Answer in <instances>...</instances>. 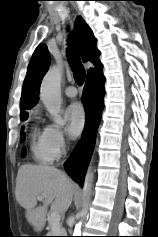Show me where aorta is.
I'll return each instance as SVG.
<instances>
[{
  "mask_svg": "<svg viewBox=\"0 0 158 237\" xmlns=\"http://www.w3.org/2000/svg\"><path fill=\"white\" fill-rule=\"evenodd\" d=\"M61 73L60 70L53 66L48 70L46 75L44 76L41 87H40V98L44 103L47 111L52 116V119L58 125H64L65 121L60 116L61 111ZM93 171L91 170V166L88 168L84 184H83V204L82 210L80 211V221L76 225L75 232L76 234L80 233L81 225L87 215L88 207H89V199L92 192V183H93Z\"/></svg>",
  "mask_w": 158,
  "mask_h": 237,
  "instance_id": "obj_1",
  "label": "aorta"
}]
</instances>
